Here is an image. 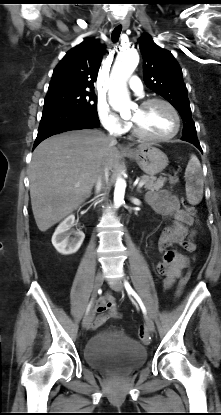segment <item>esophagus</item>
I'll return each instance as SVG.
<instances>
[{"mask_svg": "<svg viewBox=\"0 0 221 415\" xmlns=\"http://www.w3.org/2000/svg\"><path fill=\"white\" fill-rule=\"evenodd\" d=\"M119 23L122 25L123 29H127L129 27L130 21L128 19H122Z\"/></svg>", "mask_w": 221, "mask_h": 415, "instance_id": "obj_1", "label": "esophagus"}]
</instances>
